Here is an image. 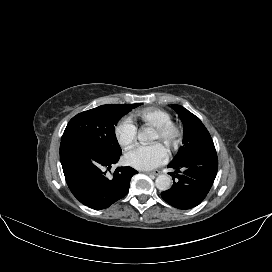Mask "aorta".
I'll return each mask as SVG.
<instances>
[{
  "instance_id": "762f6f07",
  "label": "aorta",
  "mask_w": 272,
  "mask_h": 272,
  "mask_svg": "<svg viewBox=\"0 0 272 272\" xmlns=\"http://www.w3.org/2000/svg\"><path fill=\"white\" fill-rule=\"evenodd\" d=\"M140 143L145 144L153 140V132L150 128H144L138 132L137 136ZM172 180L168 175H159L155 180L157 189L166 191L171 187Z\"/></svg>"
}]
</instances>
